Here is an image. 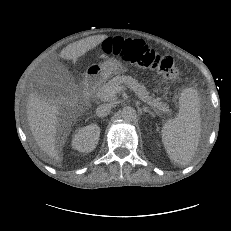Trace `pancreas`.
I'll use <instances>...</instances> for the list:
<instances>
[{
    "label": "pancreas",
    "mask_w": 231,
    "mask_h": 231,
    "mask_svg": "<svg viewBox=\"0 0 231 231\" xmlns=\"http://www.w3.org/2000/svg\"><path fill=\"white\" fill-rule=\"evenodd\" d=\"M126 85L129 87L131 90H133L138 98L142 100L143 102H146L148 105H150L156 113L163 112V113H169L170 109L169 107L160 101V98H153L148 95V92L145 88V86L141 85L137 80L133 79L130 76H125V75H118L111 80H109L106 83H103L101 86H99L95 90V96L99 98L102 101H110L112 100L113 97L110 98H105V95L107 93V90L114 87V86H119V85Z\"/></svg>",
    "instance_id": "obj_1"
}]
</instances>
